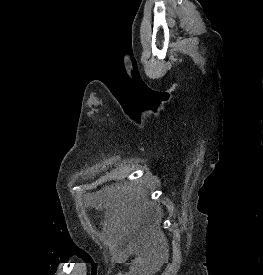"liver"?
Listing matches in <instances>:
<instances>
[{
    "label": "liver",
    "mask_w": 263,
    "mask_h": 275,
    "mask_svg": "<svg viewBox=\"0 0 263 275\" xmlns=\"http://www.w3.org/2000/svg\"><path fill=\"white\" fill-rule=\"evenodd\" d=\"M133 194L128 187L107 188L104 191H99L94 195V199L105 203L106 207L114 209L123 220L132 222L134 218L141 212L149 211L150 205L143 206L132 202ZM157 213H160V208H156ZM161 236L159 232L157 234Z\"/></svg>",
    "instance_id": "6515ba94"
}]
</instances>
